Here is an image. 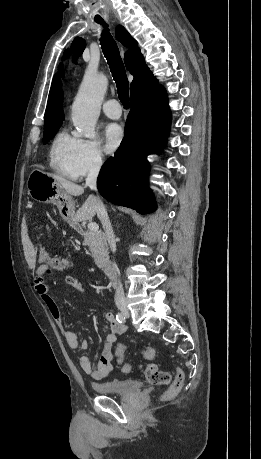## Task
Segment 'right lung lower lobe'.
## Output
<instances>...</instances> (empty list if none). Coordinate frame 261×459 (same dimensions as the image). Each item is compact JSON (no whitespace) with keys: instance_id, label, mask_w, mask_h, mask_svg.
<instances>
[{"instance_id":"right-lung-lower-lobe-1","label":"right lung lower lobe","mask_w":261,"mask_h":459,"mask_svg":"<svg viewBox=\"0 0 261 459\" xmlns=\"http://www.w3.org/2000/svg\"><path fill=\"white\" fill-rule=\"evenodd\" d=\"M130 105L122 143L114 157L103 164L97 187L108 201L148 214L155 210V202L148 187L147 156L163 148L170 110L160 86L131 98Z\"/></svg>"}]
</instances>
